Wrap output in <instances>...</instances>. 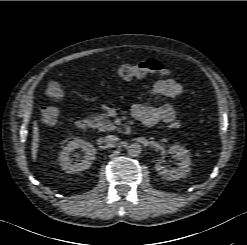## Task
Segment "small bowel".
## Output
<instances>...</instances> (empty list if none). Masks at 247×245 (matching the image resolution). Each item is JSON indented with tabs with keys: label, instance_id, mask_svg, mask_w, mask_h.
<instances>
[{
	"label": "small bowel",
	"instance_id": "c3829d8e",
	"mask_svg": "<svg viewBox=\"0 0 247 245\" xmlns=\"http://www.w3.org/2000/svg\"><path fill=\"white\" fill-rule=\"evenodd\" d=\"M183 92V86L172 79L158 80L153 84V95L166 97L170 102L159 106L135 105L132 108V115L146 126H153L159 122L170 123L176 119V108L173 102Z\"/></svg>",
	"mask_w": 247,
	"mask_h": 245
}]
</instances>
